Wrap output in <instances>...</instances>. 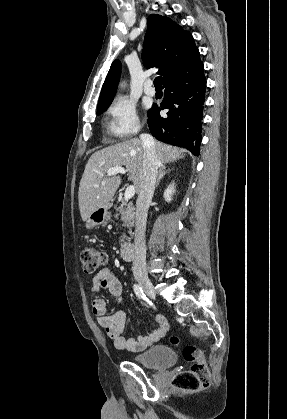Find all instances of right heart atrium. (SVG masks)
<instances>
[{
  "instance_id": "1",
  "label": "right heart atrium",
  "mask_w": 287,
  "mask_h": 419,
  "mask_svg": "<svg viewBox=\"0 0 287 419\" xmlns=\"http://www.w3.org/2000/svg\"><path fill=\"white\" fill-rule=\"evenodd\" d=\"M108 131L116 138H125L139 130V118L133 102L123 96L113 99L107 109Z\"/></svg>"
}]
</instances>
